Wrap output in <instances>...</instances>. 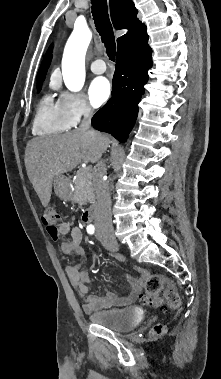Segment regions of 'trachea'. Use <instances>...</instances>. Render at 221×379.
<instances>
[{
  "instance_id": "1",
  "label": "trachea",
  "mask_w": 221,
  "mask_h": 379,
  "mask_svg": "<svg viewBox=\"0 0 221 379\" xmlns=\"http://www.w3.org/2000/svg\"><path fill=\"white\" fill-rule=\"evenodd\" d=\"M93 20L97 32L105 44L106 53L110 60H115L116 44L113 28L109 19L106 0H91Z\"/></svg>"
}]
</instances>
